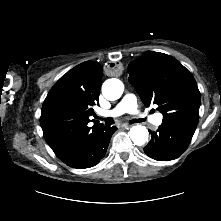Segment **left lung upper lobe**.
<instances>
[{
  "label": "left lung upper lobe",
  "instance_id": "1",
  "mask_svg": "<svg viewBox=\"0 0 221 221\" xmlns=\"http://www.w3.org/2000/svg\"><path fill=\"white\" fill-rule=\"evenodd\" d=\"M128 73L143 103L158 105L163 121L198 122L201 100L197 83L175 58L147 51L129 64Z\"/></svg>",
  "mask_w": 221,
  "mask_h": 221
}]
</instances>
